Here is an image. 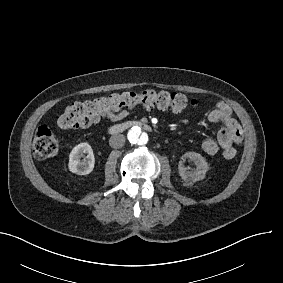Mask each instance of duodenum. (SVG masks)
<instances>
[{
  "instance_id": "obj_1",
  "label": "duodenum",
  "mask_w": 283,
  "mask_h": 283,
  "mask_svg": "<svg viewBox=\"0 0 283 283\" xmlns=\"http://www.w3.org/2000/svg\"><path fill=\"white\" fill-rule=\"evenodd\" d=\"M132 127H139L143 130L146 131H150L151 130V126L145 122H141V121H126L123 123H119V124H114L109 128V132L112 134H116V133H120L123 132L129 128Z\"/></svg>"
}]
</instances>
